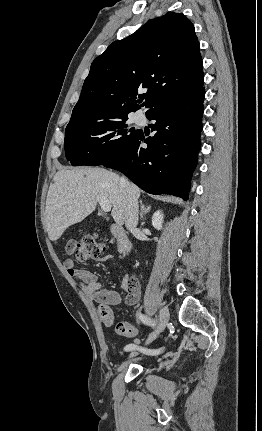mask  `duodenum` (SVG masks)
<instances>
[{
	"instance_id": "1",
	"label": "duodenum",
	"mask_w": 262,
	"mask_h": 431,
	"mask_svg": "<svg viewBox=\"0 0 262 431\" xmlns=\"http://www.w3.org/2000/svg\"><path fill=\"white\" fill-rule=\"evenodd\" d=\"M110 232L117 243L118 252L123 255H128L131 252V244L124 227L121 224H112L110 226Z\"/></svg>"
}]
</instances>
